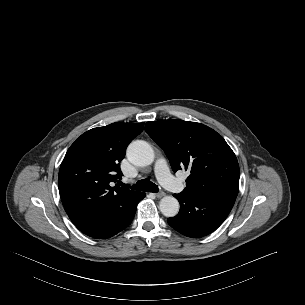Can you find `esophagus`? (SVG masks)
Here are the masks:
<instances>
[{"label": "esophagus", "mask_w": 305, "mask_h": 305, "mask_svg": "<svg viewBox=\"0 0 305 305\" xmlns=\"http://www.w3.org/2000/svg\"><path fill=\"white\" fill-rule=\"evenodd\" d=\"M155 196L157 198H161V197L165 196V193L164 192H157V193H155Z\"/></svg>", "instance_id": "1"}]
</instances>
